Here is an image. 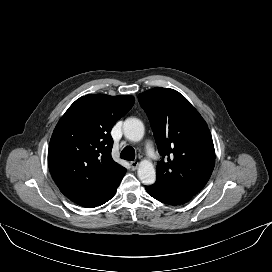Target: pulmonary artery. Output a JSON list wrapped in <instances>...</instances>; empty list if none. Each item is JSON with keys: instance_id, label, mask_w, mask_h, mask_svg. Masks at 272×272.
Returning <instances> with one entry per match:
<instances>
[{"instance_id": "obj_1", "label": "pulmonary artery", "mask_w": 272, "mask_h": 272, "mask_svg": "<svg viewBox=\"0 0 272 272\" xmlns=\"http://www.w3.org/2000/svg\"><path fill=\"white\" fill-rule=\"evenodd\" d=\"M147 152H148V155L151 157V158H155V154H154V151L152 149V147L150 145L147 146Z\"/></svg>"}]
</instances>
